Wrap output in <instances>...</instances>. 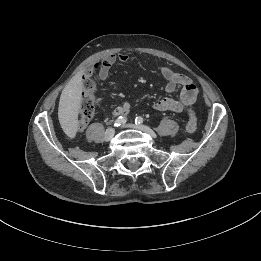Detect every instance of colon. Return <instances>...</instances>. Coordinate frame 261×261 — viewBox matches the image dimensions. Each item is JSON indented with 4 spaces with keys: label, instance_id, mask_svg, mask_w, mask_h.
Returning <instances> with one entry per match:
<instances>
[{
    "label": "colon",
    "instance_id": "obj_1",
    "mask_svg": "<svg viewBox=\"0 0 261 261\" xmlns=\"http://www.w3.org/2000/svg\"><path fill=\"white\" fill-rule=\"evenodd\" d=\"M95 85L93 81L86 82V92L79 109L78 124L79 127L86 125L95 111V97H94ZM187 124L186 130L188 133L193 134L198 129V121L196 112L193 109L187 110Z\"/></svg>",
    "mask_w": 261,
    "mask_h": 261
}]
</instances>
